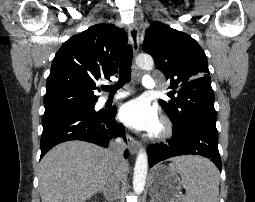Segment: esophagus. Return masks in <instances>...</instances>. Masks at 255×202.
I'll return each mask as SVG.
<instances>
[{
  "mask_svg": "<svg viewBox=\"0 0 255 202\" xmlns=\"http://www.w3.org/2000/svg\"><path fill=\"white\" fill-rule=\"evenodd\" d=\"M128 36L132 45L133 53L136 55L139 50V29L135 23H132L128 27ZM129 150L132 155L136 154L140 144L129 134L127 135Z\"/></svg>",
  "mask_w": 255,
  "mask_h": 202,
  "instance_id": "obj_1",
  "label": "esophagus"
}]
</instances>
